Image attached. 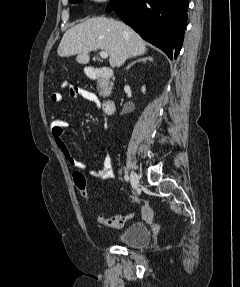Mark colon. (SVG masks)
<instances>
[{"label":"colon","instance_id":"obj_1","mask_svg":"<svg viewBox=\"0 0 240 287\" xmlns=\"http://www.w3.org/2000/svg\"><path fill=\"white\" fill-rule=\"evenodd\" d=\"M68 121L61 115L56 114L52 117L50 121V128L52 135L61 136L67 129ZM73 181L75 186L80 191L82 196L87 200L88 199V192H87V185H86V178L81 172H74L73 173ZM131 218V215H116L113 217H105L103 215L98 216V222L114 227V228H122L125 223Z\"/></svg>","mask_w":240,"mask_h":287}]
</instances>
